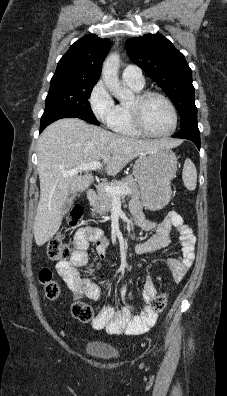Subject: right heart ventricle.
Listing matches in <instances>:
<instances>
[{"mask_svg": "<svg viewBox=\"0 0 227 396\" xmlns=\"http://www.w3.org/2000/svg\"><path fill=\"white\" fill-rule=\"evenodd\" d=\"M127 85L136 93L141 92L144 88V85H136L133 83H127ZM107 125L113 132L120 135L131 137H139L143 135L133 123L130 112V103L128 102H120L116 104L114 113Z\"/></svg>", "mask_w": 227, "mask_h": 396, "instance_id": "right-heart-ventricle-1", "label": "right heart ventricle"}]
</instances>
